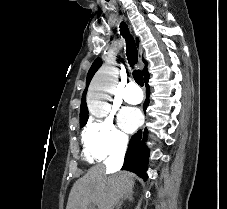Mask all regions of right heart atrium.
<instances>
[{
  "label": "right heart atrium",
  "mask_w": 227,
  "mask_h": 209,
  "mask_svg": "<svg viewBox=\"0 0 227 209\" xmlns=\"http://www.w3.org/2000/svg\"><path fill=\"white\" fill-rule=\"evenodd\" d=\"M127 135L111 118L90 119L82 132L83 152L90 161H103L125 153Z\"/></svg>",
  "instance_id": "1"
}]
</instances>
